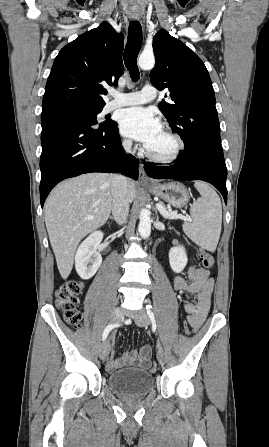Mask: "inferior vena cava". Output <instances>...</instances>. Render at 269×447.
I'll use <instances>...</instances> for the list:
<instances>
[{
    "instance_id": "obj_1",
    "label": "inferior vena cava",
    "mask_w": 269,
    "mask_h": 447,
    "mask_svg": "<svg viewBox=\"0 0 269 447\" xmlns=\"http://www.w3.org/2000/svg\"><path fill=\"white\" fill-rule=\"evenodd\" d=\"M125 152L130 154L132 148L131 140H125L122 144ZM111 192H112V214L115 222L122 225L126 224L129 214V200L127 194V180L124 176H113L111 178Z\"/></svg>"
}]
</instances>
